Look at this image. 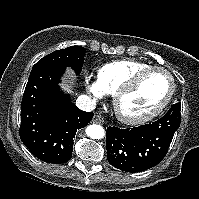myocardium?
I'll list each match as a JSON object with an SVG mask.
<instances>
[{
    "label": "myocardium",
    "mask_w": 199,
    "mask_h": 199,
    "mask_svg": "<svg viewBox=\"0 0 199 199\" xmlns=\"http://www.w3.org/2000/svg\"><path fill=\"white\" fill-rule=\"evenodd\" d=\"M153 72H162L164 73L170 80V89L167 94V96L164 98V100L152 111L140 115V116H129L125 113H123L120 109V101L121 99L132 92L138 85L139 81L147 74L153 73ZM176 90V83L174 76L172 73L163 68L158 66H150L144 69H141L137 72H135L126 82H124L114 93H113V105L114 110L116 113V116L118 119L128 125H140L144 124L146 122L151 121L155 117H157L160 113L163 112V110L167 107V105L170 103L172 97L174 96Z\"/></svg>",
    "instance_id": "1"
}]
</instances>
